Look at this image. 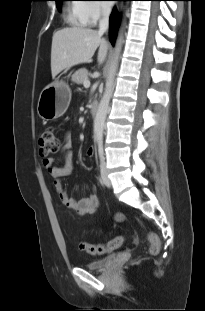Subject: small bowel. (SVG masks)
<instances>
[{
	"label": "small bowel",
	"instance_id": "c3829d8e",
	"mask_svg": "<svg viewBox=\"0 0 205 311\" xmlns=\"http://www.w3.org/2000/svg\"><path fill=\"white\" fill-rule=\"evenodd\" d=\"M72 140L70 134L65 136L62 150L65 152V165L63 167L54 166V158L47 157L42 160L43 167L53 177V188L57 193L60 201L69 209L74 210L79 216L93 214L96 212L99 201L95 193H90L88 196L75 200L71 198L65 188L63 179L68 176L72 170ZM95 155L94 148H89L86 151L87 159H92Z\"/></svg>",
	"mask_w": 205,
	"mask_h": 311
}]
</instances>
